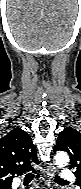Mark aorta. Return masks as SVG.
I'll return each mask as SVG.
<instances>
[{
    "label": "aorta",
    "instance_id": "aorta-1",
    "mask_svg": "<svg viewBox=\"0 0 81 189\" xmlns=\"http://www.w3.org/2000/svg\"><path fill=\"white\" fill-rule=\"evenodd\" d=\"M69 163V157L64 152H59L55 156V164L58 168H63Z\"/></svg>",
    "mask_w": 81,
    "mask_h": 189
}]
</instances>
